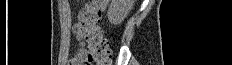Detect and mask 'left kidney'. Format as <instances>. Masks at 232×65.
I'll return each instance as SVG.
<instances>
[{"instance_id":"1","label":"left kidney","mask_w":232,"mask_h":65,"mask_svg":"<svg viewBox=\"0 0 232 65\" xmlns=\"http://www.w3.org/2000/svg\"><path fill=\"white\" fill-rule=\"evenodd\" d=\"M133 0H112L109 6L107 16L112 24L121 23L131 11Z\"/></svg>"}]
</instances>
